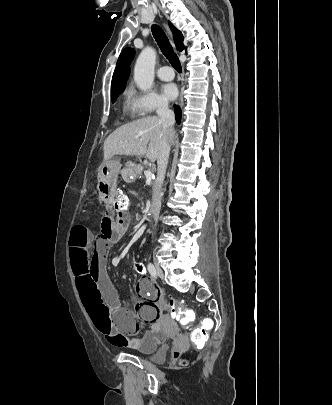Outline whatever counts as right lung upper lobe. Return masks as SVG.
<instances>
[{
	"label": "right lung upper lobe",
	"instance_id": "obj_1",
	"mask_svg": "<svg viewBox=\"0 0 332 405\" xmlns=\"http://www.w3.org/2000/svg\"><path fill=\"white\" fill-rule=\"evenodd\" d=\"M170 29L174 34L175 45L178 51L184 49L183 45V35L182 33L174 27L172 23L169 22ZM135 51L132 48H125L117 61V65L113 74L111 88L117 86L120 83L126 82L130 73V63L134 58Z\"/></svg>",
	"mask_w": 332,
	"mask_h": 405
}]
</instances>
